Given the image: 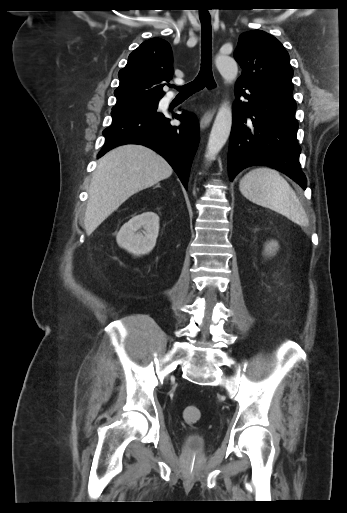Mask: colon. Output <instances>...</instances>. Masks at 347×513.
I'll use <instances>...</instances> for the list:
<instances>
[{"label": "colon", "mask_w": 347, "mask_h": 513, "mask_svg": "<svg viewBox=\"0 0 347 513\" xmlns=\"http://www.w3.org/2000/svg\"><path fill=\"white\" fill-rule=\"evenodd\" d=\"M183 418L188 424H196L201 419V411L196 406H186L183 410Z\"/></svg>", "instance_id": "5ec220e1"}]
</instances>
